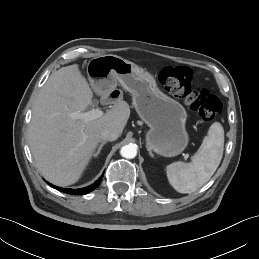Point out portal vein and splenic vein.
<instances>
[{"label":"portal vein and splenic vein","mask_w":259,"mask_h":259,"mask_svg":"<svg viewBox=\"0 0 259 259\" xmlns=\"http://www.w3.org/2000/svg\"><path fill=\"white\" fill-rule=\"evenodd\" d=\"M103 116V111L100 109H92L88 112H74L71 113V117L75 118V119H80L82 120L84 123H87L88 121L100 118Z\"/></svg>","instance_id":"portal-vein-and-splenic-vein-1"}]
</instances>
